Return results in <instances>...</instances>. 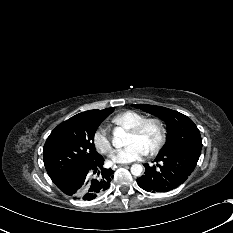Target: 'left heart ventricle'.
<instances>
[{
	"mask_svg": "<svg viewBox=\"0 0 233 233\" xmlns=\"http://www.w3.org/2000/svg\"><path fill=\"white\" fill-rule=\"evenodd\" d=\"M157 138H158V128L156 125L150 124L139 135H135L129 132L126 144L129 145L132 143H138L146 151H148L155 144Z\"/></svg>",
	"mask_w": 233,
	"mask_h": 233,
	"instance_id": "obj_1",
	"label": "left heart ventricle"
}]
</instances>
